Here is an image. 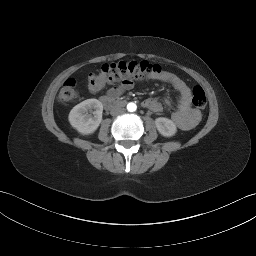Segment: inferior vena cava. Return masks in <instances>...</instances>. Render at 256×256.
I'll return each instance as SVG.
<instances>
[{
    "label": "inferior vena cava",
    "instance_id": "1",
    "mask_svg": "<svg viewBox=\"0 0 256 256\" xmlns=\"http://www.w3.org/2000/svg\"><path fill=\"white\" fill-rule=\"evenodd\" d=\"M124 112L123 108L117 107L111 110V115L115 116Z\"/></svg>",
    "mask_w": 256,
    "mask_h": 256
}]
</instances>
